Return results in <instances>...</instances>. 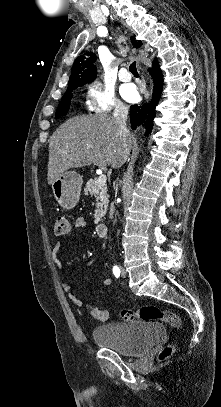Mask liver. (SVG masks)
<instances>
[{
    "label": "liver",
    "instance_id": "obj_1",
    "mask_svg": "<svg viewBox=\"0 0 221 407\" xmlns=\"http://www.w3.org/2000/svg\"><path fill=\"white\" fill-rule=\"evenodd\" d=\"M126 147L114 118L107 114L81 115L63 123L49 140L48 184L69 169L94 164L118 168L132 149L133 135Z\"/></svg>",
    "mask_w": 221,
    "mask_h": 407
}]
</instances>
